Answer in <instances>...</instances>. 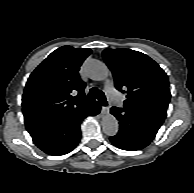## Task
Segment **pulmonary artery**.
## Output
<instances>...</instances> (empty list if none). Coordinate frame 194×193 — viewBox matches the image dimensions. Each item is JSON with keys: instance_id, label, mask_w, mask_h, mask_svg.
Listing matches in <instances>:
<instances>
[{"instance_id": "obj_1", "label": "pulmonary artery", "mask_w": 194, "mask_h": 193, "mask_svg": "<svg viewBox=\"0 0 194 193\" xmlns=\"http://www.w3.org/2000/svg\"><path fill=\"white\" fill-rule=\"evenodd\" d=\"M106 92L113 104L117 107H121L123 105L121 95L110 84L106 85Z\"/></svg>"}]
</instances>
